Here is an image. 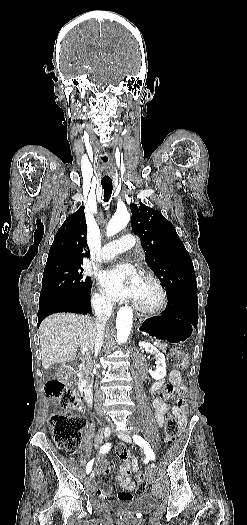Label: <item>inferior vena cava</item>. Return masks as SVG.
<instances>
[{"instance_id": "inferior-vena-cava-1", "label": "inferior vena cava", "mask_w": 247, "mask_h": 525, "mask_svg": "<svg viewBox=\"0 0 247 525\" xmlns=\"http://www.w3.org/2000/svg\"><path fill=\"white\" fill-rule=\"evenodd\" d=\"M96 319V333L94 335V355L98 357L104 343L105 327L112 315V305L107 301H99L94 307Z\"/></svg>"}]
</instances>
